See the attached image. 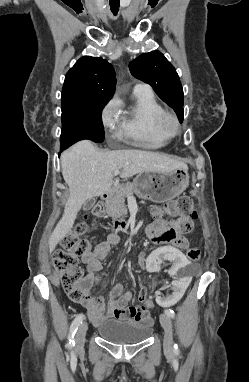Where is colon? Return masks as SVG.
I'll use <instances>...</instances> for the list:
<instances>
[{
    "label": "colon",
    "instance_id": "obj_1",
    "mask_svg": "<svg viewBox=\"0 0 249 382\" xmlns=\"http://www.w3.org/2000/svg\"><path fill=\"white\" fill-rule=\"evenodd\" d=\"M156 218L165 219L172 215L196 216L192 200L188 196H180L167 202L164 206L155 207L152 210ZM103 213V205L97 204L88 215L85 221L75 226L74 232L68 235L63 243L62 249L56 251L54 255V266L61 273V284L68 297L75 302L85 299L84 272L79 267V256L91 249V242L81 238L80 235L86 230L88 224L96 223ZM191 261L198 260L200 250L189 248L186 252ZM147 300V292L142 288L139 293V301Z\"/></svg>",
    "mask_w": 249,
    "mask_h": 382
}]
</instances>
